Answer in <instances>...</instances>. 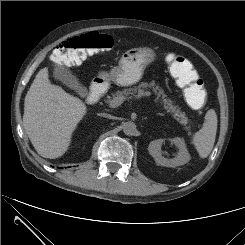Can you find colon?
I'll return each mask as SVG.
<instances>
[{
	"instance_id": "colon-1",
	"label": "colon",
	"mask_w": 245,
	"mask_h": 245,
	"mask_svg": "<svg viewBox=\"0 0 245 245\" xmlns=\"http://www.w3.org/2000/svg\"><path fill=\"white\" fill-rule=\"evenodd\" d=\"M113 44L112 36L90 32L64 41L54 50L52 59L60 66L76 65L90 55L112 48ZM169 64L173 76L184 89L187 103L194 109H202L207 102V91L203 81L184 74V57L171 55Z\"/></svg>"
}]
</instances>
